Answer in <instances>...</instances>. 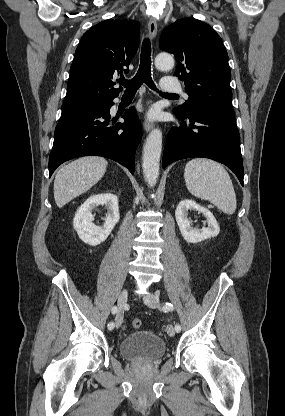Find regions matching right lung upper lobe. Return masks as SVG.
I'll use <instances>...</instances> for the list:
<instances>
[{
	"mask_svg": "<svg viewBox=\"0 0 285 416\" xmlns=\"http://www.w3.org/2000/svg\"><path fill=\"white\" fill-rule=\"evenodd\" d=\"M139 42V24L131 20H105L84 33L63 103L112 102L122 90L113 87L112 79L128 73Z\"/></svg>",
	"mask_w": 285,
	"mask_h": 416,
	"instance_id": "obj_1",
	"label": "right lung upper lobe"
}]
</instances>
